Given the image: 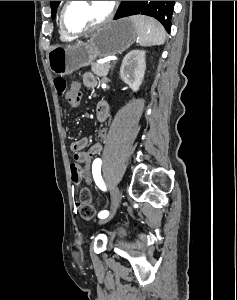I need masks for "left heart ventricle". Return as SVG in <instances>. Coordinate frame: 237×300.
Here are the masks:
<instances>
[{"label":"left heart ventricle","instance_id":"b2bd125f","mask_svg":"<svg viewBox=\"0 0 237 300\" xmlns=\"http://www.w3.org/2000/svg\"><path fill=\"white\" fill-rule=\"evenodd\" d=\"M110 1H71L65 12L66 27L72 32L81 31L103 20Z\"/></svg>","mask_w":237,"mask_h":300}]
</instances>
